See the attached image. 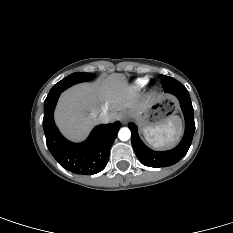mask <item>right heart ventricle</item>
<instances>
[{"label": "right heart ventricle", "instance_id": "1", "mask_svg": "<svg viewBox=\"0 0 233 233\" xmlns=\"http://www.w3.org/2000/svg\"><path fill=\"white\" fill-rule=\"evenodd\" d=\"M138 84H139V86H144L146 84V81L142 80Z\"/></svg>", "mask_w": 233, "mask_h": 233}]
</instances>
